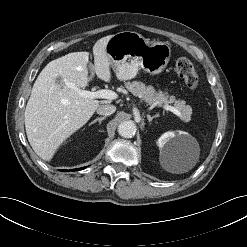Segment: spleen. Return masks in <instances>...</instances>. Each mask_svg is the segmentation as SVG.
I'll return each instance as SVG.
<instances>
[{"label":"spleen","instance_id":"1","mask_svg":"<svg viewBox=\"0 0 247 247\" xmlns=\"http://www.w3.org/2000/svg\"><path fill=\"white\" fill-rule=\"evenodd\" d=\"M183 171H185L184 169H178V172H183Z\"/></svg>","mask_w":247,"mask_h":247}]
</instances>
